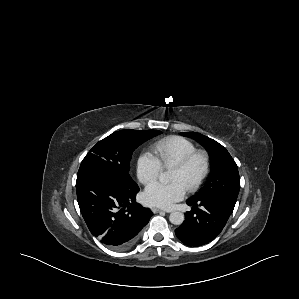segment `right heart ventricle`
<instances>
[{"label": "right heart ventricle", "mask_w": 299, "mask_h": 299, "mask_svg": "<svg viewBox=\"0 0 299 299\" xmlns=\"http://www.w3.org/2000/svg\"><path fill=\"white\" fill-rule=\"evenodd\" d=\"M156 157L163 168H171L185 156L196 150L190 140L181 136H168L154 144Z\"/></svg>", "instance_id": "obj_1"}]
</instances>
